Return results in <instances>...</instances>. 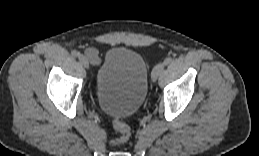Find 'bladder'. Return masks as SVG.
Returning <instances> with one entry per match:
<instances>
[{
    "label": "bladder",
    "instance_id": "obj_1",
    "mask_svg": "<svg viewBox=\"0 0 259 156\" xmlns=\"http://www.w3.org/2000/svg\"><path fill=\"white\" fill-rule=\"evenodd\" d=\"M148 90V67L143 57L128 48L106 51L95 78V93L102 110L115 118L133 115Z\"/></svg>",
    "mask_w": 259,
    "mask_h": 156
}]
</instances>
